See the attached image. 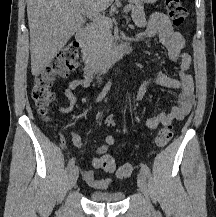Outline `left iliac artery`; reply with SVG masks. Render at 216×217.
I'll list each match as a JSON object with an SVG mask.
<instances>
[{"label":"left iliac artery","mask_w":216,"mask_h":217,"mask_svg":"<svg viewBox=\"0 0 216 217\" xmlns=\"http://www.w3.org/2000/svg\"><path fill=\"white\" fill-rule=\"evenodd\" d=\"M141 167V171L146 175V176H150V169L148 168V166L144 163L140 164Z\"/></svg>","instance_id":"44dca946"}]
</instances>
